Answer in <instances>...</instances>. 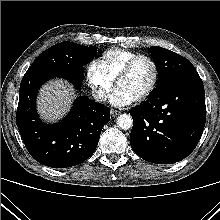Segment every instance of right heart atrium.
Here are the masks:
<instances>
[{
  "label": "right heart atrium",
  "instance_id": "obj_1",
  "mask_svg": "<svg viewBox=\"0 0 220 220\" xmlns=\"http://www.w3.org/2000/svg\"><path fill=\"white\" fill-rule=\"evenodd\" d=\"M87 80L92 94L98 101L106 99L114 78L108 73L101 60L94 59L87 66Z\"/></svg>",
  "mask_w": 220,
  "mask_h": 220
}]
</instances>
